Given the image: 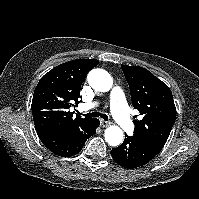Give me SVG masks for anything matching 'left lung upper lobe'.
<instances>
[{
    "instance_id": "5c2ea615",
    "label": "left lung upper lobe",
    "mask_w": 199,
    "mask_h": 199,
    "mask_svg": "<svg viewBox=\"0 0 199 199\" xmlns=\"http://www.w3.org/2000/svg\"><path fill=\"white\" fill-rule=\"evenodd\" d=\"M129 85L132 104L138 109L141 120L135 124L133 138L161 151L176 119V107L168 86L147 69L122 65Z\"/></svg>"
}]
</instances>
